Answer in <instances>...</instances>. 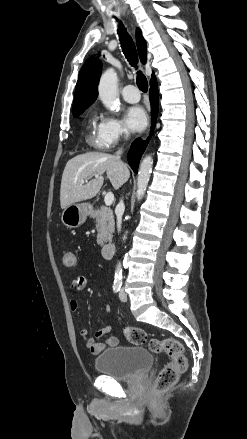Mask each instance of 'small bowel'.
Listing matches in <instances>:
<instances>
[{"mask_svg":"<svg viewBox=\"0 0 247 439\" xmlns=\"http://www.w3.org/2000/svg\"><path fill=\"white\" fill-rule=\"evenodd\" d=\"M86 285H87V279L84 276H77L76 278H74L72 280L70 288L73 292H81L82 290L85 289ZM69 306H70V309L72 311H77L79 308L78 301L76 299H71ZM105 311L107 313L111 312V308L109 305L105 306ZM111 330H112V326L106 325L103 328L96 331L95 337L101 338V337L107 335L108 333H110ZM87 334H88V332L86 329H81L79 332V335L81 338H86ZM118 343H119V340L117 337L108 336L105 338V340L103 342L96 341L94 338H87L85 341V346L89 349V351L92 354L96 355V354H99L100 352H102L106 347H114V346L118 345Z\"/></svg>","mask_w":247,"mask_h":439,"instance_id":"small-bowel-1","label":"small bowel"}]
</instances>
